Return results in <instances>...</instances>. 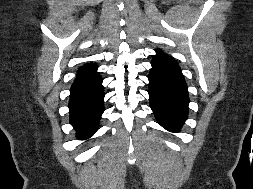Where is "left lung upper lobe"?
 Instances as JSON below:
<instances>
[{
	"mask_svg": "<svg viewBox=\"0 0 253 189\" xmlns=\"http://www.w3.org/2000/svg\"><path fill=\"white\" fill-rule=\"evenodd\" d=\"M156 52H157V55H155V56L153 57V59H156V58H166V59H170V60L175 61V60L172 59L171 57L165 56L161 49H156ZM175 62H176V61H175Z\"/></svg>",
	"mask_w": 253,
	"mask_h": 189,
	"instance_id": "1",
	"label": "left lung upper lobe"
}]
</instances>
